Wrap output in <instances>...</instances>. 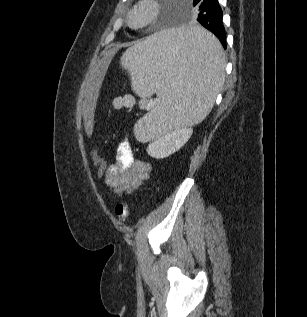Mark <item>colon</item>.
<instances>
[{
	"instance_id": "1",
	"label": "colon",
	"mask_w": 307,
	"mask_h": 317,
	"mask_svg": "<svg viewBox=\"0 0 307 317\" xmlns=\"http://www.w3.org/2000/svg\"><path fill=\"white\" fill-rule=\"evenodd\" d=\"M93 162L97 170L98 177H104L107 171V163L103 160L97 151L93 152ZM115 213L121 222H125L129 215L128 205L126 202H120L115 207Z\"/></svg>"
}]
</instances>
